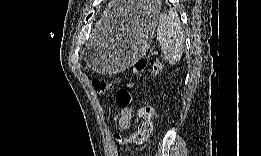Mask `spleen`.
<instances>
[{"instance_id":"obj_1","label":"spleen","mask_w":261,"mask_h":156,"mask_svg":"<svg viewBox=\"0 0 261 156\" xmlns=\"http://www.w3.org/2000/svg\"><path fill=\"white\" fill-rule=\"evenodd\" d=\"M157 28V40L161 45V51L165 60L170 64L177 63L184 50V37L179 18L174 11L169 15L160 14Z\"/></svg>"}]
</instances>
